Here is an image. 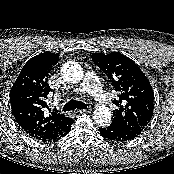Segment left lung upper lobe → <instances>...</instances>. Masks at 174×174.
<instances>
[{
    "instance_id": "5c2ea615",
    "label": "left lung upper lobe",
    "mask_w": 174,
    "mask_h": 174,
    "mask_svg": "<svg viewBox=\"0 0 174 174\" xmlns=\"http://www.w3.org/2000/svg\"><path fill=\"white\" fill-rule=\"evenodd\" d=\"M93 62L109 78L117 93L111 124L141 133L150 122L154 109V93L142 70L128 57L113 52L92 54Z\"/></svg>"
}]
</instances>
